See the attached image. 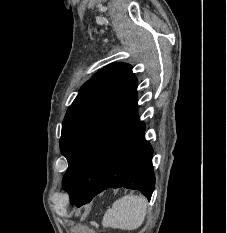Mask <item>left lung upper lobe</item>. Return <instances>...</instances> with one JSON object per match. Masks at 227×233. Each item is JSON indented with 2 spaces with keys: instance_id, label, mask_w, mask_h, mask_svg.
Returning a JSON list of instances; mask_svg holds the SVG:
<instances>
[{
  "instance_id": "5c2ea615",
  "label": "left lung upper lobe",
  "mask_w": 227,
  "mask_h": 233,
  "mask_svg": "<svg viewBox=\"0 0 227 233\" xmlns=\"http://www.w3.org/2000/svg\"><path fill=\"white\" fill-rule=\"evenodd\" d=\"M138 121L131 65L110 64L82 86L67 110L60 139L68 160L62 185L70 202L96 188L113 151Z\"/></svg>"
}]
</instances>
